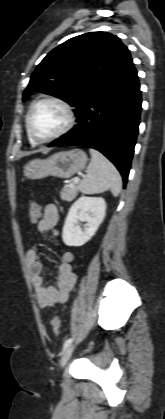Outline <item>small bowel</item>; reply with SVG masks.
I'll return each mask as SVG.
<instances>
[{
	"label": "small bowel",
	"mask_w": 165,
	"mask_h": 419,
	"mask_svg": "<svg viewBox=\"0 0 165 419\" xmlns=\"http://www.w3.org/2000/svg\"><path fill=\"white\" fill-rule=\"evenodd\" d=\"M58 221L59 212L56 205L48 204L37 222L38 230L41 232H52L54 236H57L58 232L55 230V227ZM25 258L38 305L47 309L56 304L66 302L77 279L72 268L73 252L70 250L61 251L55 285L45 284L43 276L44 264L39 259L36 248L29 249Z\"/></svg>",
	"instance_id": "1"
}]
</instances>
